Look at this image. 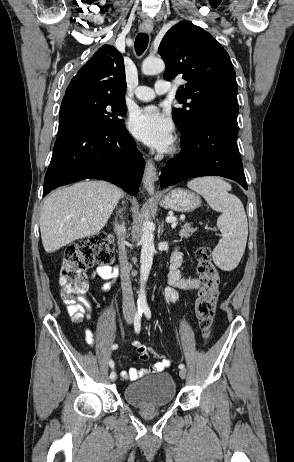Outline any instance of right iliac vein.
Listing matches in <instances>:
<instances>
[{
	"label": "right iliac vein",
	"instance_id": "1",
	"mask_svg": "<svg viewBox=\"0 0 294 462\" xmlns=\"http://www.w3.org/2000/svg\"><path fill=\"white\" fill-rule=\"evenodd\" d=\"M132 321H133V317H132V316H127V317H126V322H127L128 324H131ZM111 380H112V381H115V380H116V376H115V378H113V379H111Z\"/></svg>",
	"mask_w": 294,
	"mask_h": 462
}]
</instances>
